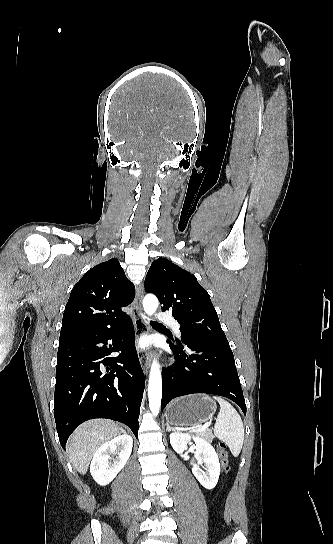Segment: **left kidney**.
Instances as JSON below:
<instances>
[{"instance_id": "5707ae66", "label": "left kidney", "mask_w": 333, "mask_h": 544, "mask_svg": "<svg viewBox=\"0 0 333 544\" xmlns=\"http://www.w3.org/2000/svg\"><path fill=\"white\" fill-rule=\"evenodd\" d=\"M193 440L196 448L194 456L198 462L193 465L192 472L202 486L206 489H213L216 486L220 475L218 454L210 442L205 439L193 437ZM190 441L191 436L189 434L180 432L170 434L171 446L177 453H183V451L187 449V444ZM202 464H204L203 468L206 470L205 472L199 466Z\"/></svg>"}]
</instances>
